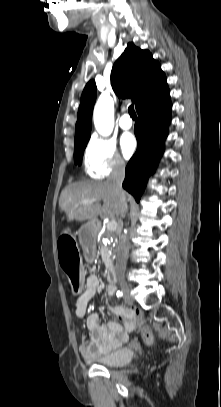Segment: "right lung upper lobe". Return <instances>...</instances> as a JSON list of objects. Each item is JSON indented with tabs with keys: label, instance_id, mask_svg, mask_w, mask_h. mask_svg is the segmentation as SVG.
Segmentation results:
<instances>
[{
	"label": "right lung upper lobe",
	"instance_id": "1",
	"mask_svg": "<svg viewBox=\"0 0 221 407\" xmlns=\"http://www.w3.org/2000/svg\"><path fill=\"white\" fill-rule=\"evenodd\" d=\"M113 90L121 98H131L136 110L157 96L167 87L166 76L160 64L147 50L129 43L113 65L111 72ZM96 99V85L90 81L85 86L75 127V144L88 141L91 118Z\"/></svg>",
	"mask_w": 221,
	"mask_h": 407
}]
</instances>
